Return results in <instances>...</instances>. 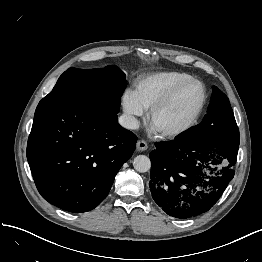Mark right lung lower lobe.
I'll return each mask as SVG.
<instances>
[{
	"mask_svg": "<svg viewBox=\"0 0 262 262\" xmlns=\"http://www.w3.org/2000/svg\"><path fill=\"white\" fill-rule=\"evenodd\" d=\"M137 137L117 116L74 99H42L35 111L27 159L42 197L69 212H87L109 193Z\"/></svg>",
	"mask_w": 262,
	"mask_h": 262,
	"instance_id": "obj_1",
	"label": "right lung lower lobe"
}]
</instances>
